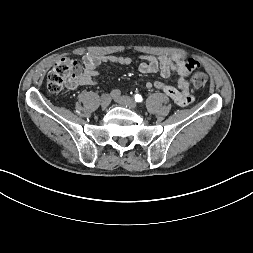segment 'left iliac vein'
I'll use <instances>...</instances> for the list:
<instances>
[{"instance_id": "1", "label": "left iliac vein", "mask_w": 253, "mask_h": 253, "mask_svg": "<svg viewBox=\"0 0 253 253\" xmlns=\"http://www.w3.org/2000/svg\"><path fill=\"white\" fill-rule=\"evenodd\" d=\"M114 100L117 103H119L120 105L126 106L130 109H136L137 108L136 102L128 96H125V95L119 96V97L114 98Z\"/></svg>"}]
</instances>
